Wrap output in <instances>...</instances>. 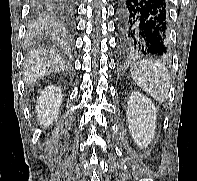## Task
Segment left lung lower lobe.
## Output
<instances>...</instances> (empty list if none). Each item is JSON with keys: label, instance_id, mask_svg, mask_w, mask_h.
I'll list each match as a JSON object with an SVG mask.
<instances>
[{"label": "left lung lower lobe", "instance_id": "1", "mask_svg": "<svg viewBox=\"0 0 197 181\" xmlns=\"http://www.w3.org/2000/svg\"><path fill=\"white\" fill-rule=\"evenodd\" d=\"M118 50L123 57L169 53L167 0H118Z\"/></svg>", "mask_w": 197, "mask_h": 181}]
</instances>
